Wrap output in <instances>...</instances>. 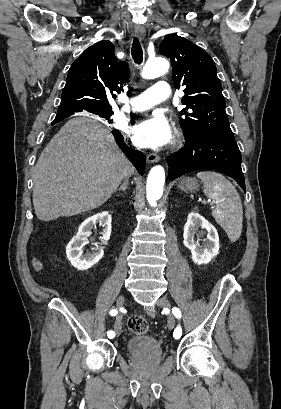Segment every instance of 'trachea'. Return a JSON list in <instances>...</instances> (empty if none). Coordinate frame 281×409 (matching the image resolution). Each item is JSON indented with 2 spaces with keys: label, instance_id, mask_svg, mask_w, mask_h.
<instances>
[{
  "label": "trachea",
  "instance_id": "1",
  "mask_svg": "<svg viewBox=\"0 0 281 409\" xmlns=\"http://www.w3.org/2000/svg\"><path fill=\"white\" fill-rule=\"evenodd\" d=\"M131 55L133 60L136 64H141L143 61V51L139 39L135 37L133 39L132 47H131Z\"/></svg>",
  "mask_w": 281,
  "mask_h": 409
}]
</instances>
